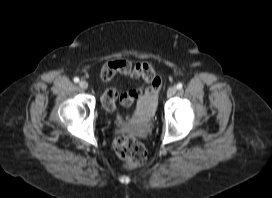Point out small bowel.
Segmentation results:
<instances>
[{
  "label": "small bowel",
  "instance_id": "obj_1",
  "mask_svg": "<svg viewBox=\"0 0 272 198\" xmlns=\"http://www.w3.org/2000/svg\"><path fill=\"white\" fill-rule=\"evenodd\" d=\"M112 69V76L121 75L141 79L143 85L118 94L115 89H108L103 96V104L107 110H113L117 100L125 107L131 106L135 101L141 103L146 100H155L161 88V79L155 75L151 65L145 62L132 63L128 60L117 59L109 63L107 68Z\"/></svg>",
  "mask_w": 272,
  "mask_h": 198
}]
</instances>
